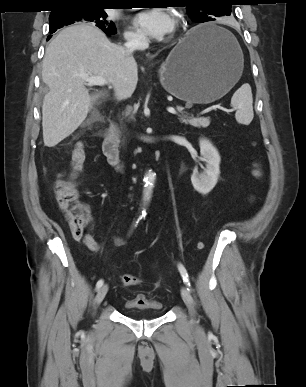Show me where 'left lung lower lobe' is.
Segmentation results:
<instances>
[{"instance_id":"obj_1","label":"left lung lower lobe","mask_w":306,"mask_h":387,"mask_svg":"<svg viewBox=\"0 0 306 387\" xmlns=\"http://www.w3.org/2000/svg\"><path fill=\"white\" fill-rule=\"evenodd\" d=\"M213 35H220L219 33H214Z\"/></svg>"}]
</instances>
